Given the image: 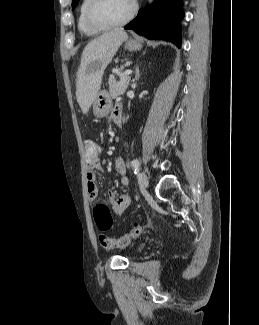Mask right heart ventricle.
<instances>
[{
    "instance_id": "right-heart-ventricle-1",
    "label": "right heart ventricle",
    "mask_w": 259,
    "mask_h": 325,
    "mask_svg": "<svg viewBox=\"0 0 259 325\" xmlns=\"http://www.w3.org/2000/svg\"><path fill=\"white\" fill-rule=\"evenodd\" d=\"M88 4H89V0H81V2L79 4V8H78L77 25H78L79 31L82 34H84L86 36H95V35L101 33L103 30L94 29L87 24L86 18H85V11H86Z\"/></svg>"
}]
</instances>
